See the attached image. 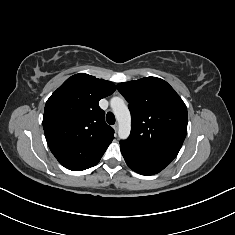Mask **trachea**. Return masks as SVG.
<instances>
[{
  "label": "trachea",
  "mask_w": 235,
  "mask_h": 235,
  "mask_svg": "<svg viewBox=\"0 0 235 235\" xmlns=\"http://www.w3.org/2000/svg\"><path fill=\"white\" fill-rule=\"evenodd\" d=\"M106 121L110 125L115 124V116H114V114L111 113V112H108L107 115H106Z\"/></svg>",
  "instance_id": "trachea-1"
}]
</instances>
